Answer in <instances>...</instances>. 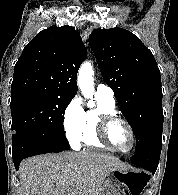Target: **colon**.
Listing matches in <instances>:
<instances>
[{"mask_svg": "<svg viewBox=\"0 0 178 195\" xmlns=\"http://www.w3.org/2000/svg\"><path fill=\"white\" fill-rule=\"evenodd\" d=\"M149 182V177L143 172H137L131 179L129 185L132 195H141L142 190L146 187Z\"/></svg>", "mask_w": 178, "mask_h": 195, "instance_id": "obj_1", "label": "colon"}]
</instances>
